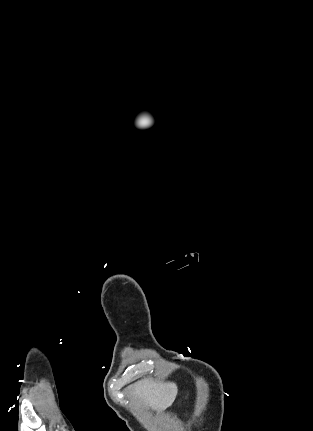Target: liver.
<instances>
[{
    "mask_svg": "<svg viewBox=\"0 0 313 431\" xmlns=\"http://www.w3.org/2000/svg\"><path fill=\"white\" fill-rule=\"evenodd\" d=\"M133 395L152 410L162 411L169 407L177 395L174 383H160L151 379L138 381L133 385Z\"/></svg>",
    "mask_w": 313,
    "mask_h": 431,
    "instance_id": "6515ba94",
    "label": "liver"
}]
</instances>
